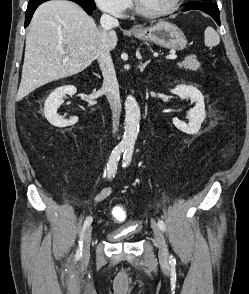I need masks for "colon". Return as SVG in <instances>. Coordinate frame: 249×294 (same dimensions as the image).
Masks as SVG:
<instances>
[{"label": "colon", "instance_id": "1", "mask_svg": "<svg viewBox=\"0 0 249 294\" xmlns=\"http://www.w3.org/2000/svg\"><path fill=\"white\" fill-rule=\"evenodd\" d=\"M115 217L122 220L126 217V210L123 206L116 208Z\"/></svg>", "mask_w": 249, "mask_h": 294}]
</instances>
